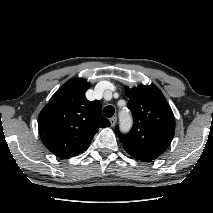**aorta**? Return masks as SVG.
I'll list each match as a JSON object with an SVG mask.
<instances>
[{
	"label": "aorta",
	"mask_w": 213,
	"mask_h": 213,
	"mask_svg": "<svg viewBox=\"0 0 213 213\" xmlns=\"http://www.w3.org/2000/svg\"><path fill=\"white\" fill-rule=\"evenodd\" d=\"M132 124L131 116L128 112H120V127L122 130L127 131Z\"/></svg>",
	"instance_id": "1"
}]
</instances>
